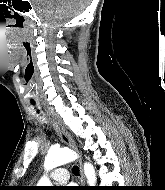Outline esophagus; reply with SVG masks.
<instances>
[{"instance_id":"34e87169","label":"esophagus","mask_w":165,"mask_h":190,"mask_svg":"<svg viewBox=\"0 0 165 190\" xmlns=\"http://www.w3.org/2000/svg\"><path fill=\"white\" fill-rule=\"evenodd\" d=\"M49 114L51 116L53 125L60 136L61 140L66 143L69 147H71L73 150H77L76 144L70 133L65 129V127L61 124V122L58 120V118L53 114L52 112L49 111ZM80 165V182L81 185L85 184V177L83 174V169H82V162L79 161Z\"/></svg>"}]
</instances>
